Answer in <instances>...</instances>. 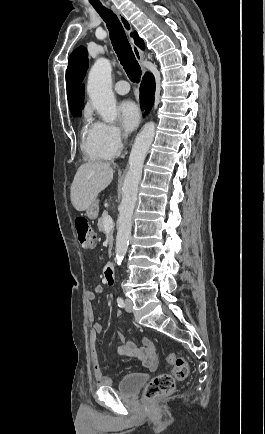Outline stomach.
Here are the masks:
<instances>
[{
  "mask_svg": "<svg viewBox=\"0 0 265 434\" xmlns=\"http://www.w3.org/2000/svg\"><path fill=\"white\" fill-rule=\"evenodd\" d=\"M99 212V202L98 200H95V202H92L91 206H89L88 210H86V214L90 220H94V218H97Z\"/></svg>",
  "mask_w": 265,
  "mask_h": 434,
  "instance_id": "obj_1",
  "label": "stomach"
}]
</instances>
